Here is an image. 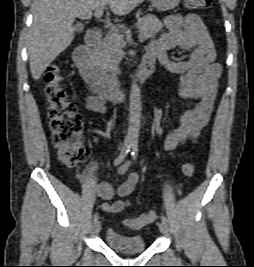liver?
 <instances>
[{"instance_id": "liver-1", "label": "liver", "mask_w": 254, "mask_h": 267, "mask_svg": "<svg viewBox=\"0 0 254 267\" xmlns=\"http://www.w3.org/2000/svg\"><path fill=\"white\" fill-rule=\"evenodd\" d=\"M145 0H35L27 49L30 71L38 80L74 39L75 18L90 19L93 11L110 6L113 14H129Z\"/></svg>"}]
</instances>
